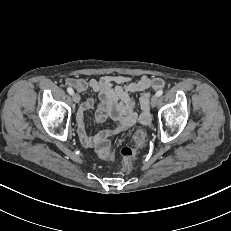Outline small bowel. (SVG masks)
Returning <instances> with one entry per match:
<instances>
[{
    "instance_id": "small-bowel-1",
    "label": "small bowel",
    "mask_w": 231,
    "mask_h": 231,
    "mask_svg": "<svg viewBox=\"0 0 231 231\" xmlns=\"http://www.w3.org/2000/svg\"><path fill=\"white\" fill-rule=\"evenodd\" d=\"M66 83L77 91L92 89L99 94V105L95 114L97 122H104L107 118L115 121L109 130H103L94 136L86 131L84 114L94 106V100L86 99L77 113L78 135L82 145L86 148L95 147L101 140L111 135L121 133L136 123L146 124L149 121V89H160L165 86L159 77L141 76L133 80L129 76H104L99 79L67 78ZM132 93H140V112H136V102Z\"/></svg>"
}]
</instances>
